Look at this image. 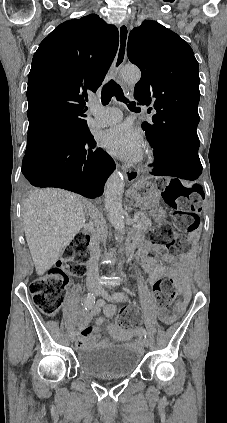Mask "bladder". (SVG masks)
<instances>
[{
    "label": "bladder",
    "mask_w": 227,
    "mask_h": 423,
    "mask_svg": "<svg viewBox=\"0 0 227 423\" xmlns=\"http://www.w3.org/2000/svg\"><path fill=\"white\" fill-rule=\"evenodd\" d=\"M143 352L125 344L100 345L80 352L76 365L89 376L102 380L130 378L140 367Z\"/></svg>",
    "instance_id": "obj_1"
}]
</instances>
